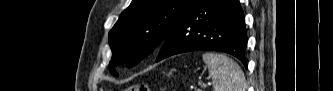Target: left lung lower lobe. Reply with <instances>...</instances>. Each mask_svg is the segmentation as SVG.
Segmentation results:
<instances>
[{"mask_svg":"<svg viewBox=\"0 0 333 91\" xmlns=\"http://www.w3.org/2000/svg\"><path fill=\"white\" fill-rule=\"evenodd\" d=\"M245 17L239 0H198L160 46L157 62L190 51H218L247 68Z\"/></svg>","mask_w":333,"mask_h":91,"instance_id":"obj_1","label":"left lung lower lobe"}]
</instances>
